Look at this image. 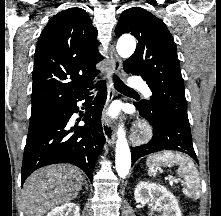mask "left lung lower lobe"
<instances>
[{
	"mask_svg": "<svg viewBox=\"0 0 221 216\" xmlns=\"http://www.w3.org/2000/svg\"><path fill=\"white\" fill-rule=\"evenodd\" d=\"M135 106L140 111V115L152 124L153 137L146 145L131 147L132 164L140 157L162 150L186 153L198 163L191 140L190 125L166 114L145 110L139 104Z\"/></svg>",
	"mask_w": 221,
	"mask_h": 216,
	"instance_id": "1",
	"label": "left lung lower lobe"
}]
</instances>
